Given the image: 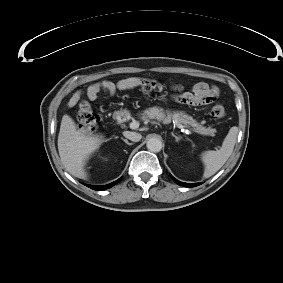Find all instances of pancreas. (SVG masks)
Here are the masks:
<instances>
[{"instance_id": "pancreas-1", "label": "pancreas", "mask_w": 283, "mask_h": 283, "mask_svg": "<svg viewBox=\"0 0 283 283\" xmlns=\"http://www.w3.org/2000/svg\"><path fill=\"white\" fill-rule=\"evenodd\" d=\"M144 116L145 117H149V118H153V119H157L159 121H164V122H168L171 119L175 120L177 124L180 123H192V124H196L195 121L188 115L182 113V112H176V113H167V115H165L164 112H162L161 109L153 107L150 108L148 110H146L144 112Z\"/></svg>"}]
</instances>
